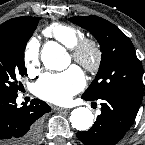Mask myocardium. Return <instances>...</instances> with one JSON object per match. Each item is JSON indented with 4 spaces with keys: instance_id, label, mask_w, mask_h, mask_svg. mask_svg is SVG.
I'll use <instances>...</instances> for the list:
<instances>
[{
    "instance_id": "f54148a6",
    "label": "myocardium",
    "mask_w": 145,
    "mask_h": 145,
    "mask_svg": "<svg viewBox=\"0 0 145 145\" xmlns=\"http://www.w3.org/2000/svg\"><path fill=\"white\" fill-rule=\"evenodd\" d=\"M71 49L73 60L89 73H97L103 62V49L94 38H82Z\"/></svg>"
}]
</instances>
